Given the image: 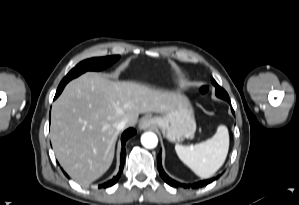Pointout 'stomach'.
I'll return each instance as SVG.
<instances>
[{
  "mask_svg": "<svg viewBox=\"0 0 299 205\" xmlns=\"http://www.w3.org/2000/svg\"><path fill=\"white\" fill-rule=\"evenodd\" d=\"M152 120L171 142L179 141L183 137L189 138L196 131L194 110L185 97L173 111L153 117Z\"/></svg>",
  "mask_w": 299,
  "mask_h": 205,
  "instance_id": "0dacf381",
  "label": "stomach"
}]
</instances>
